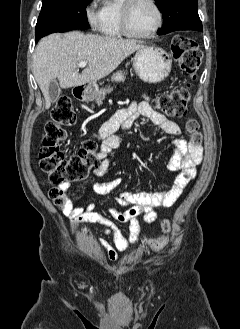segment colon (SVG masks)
<instances>
[{
    "label": "colon",
    "mask_w": 240,
    "mask_h": 329,
    "mask_svg": "<svg viewBox=\"0 0 240 329\" xmlns=\"http://www.w3.org/2000/svg\"><path fill=\"white\" fill-rule=\"evenodd\" d=\"M172 52L180 70L190 79H194L202 61V51L198 43L190 37L176 35L172 40ZM190 98L189 85L182 86L159 95L153 101V106L171 117H183L187 112ZM75 119L76 114L70 98L61 96L52 110L51 121L45 126V135L39 151L41 169L54 184L83 181L98 163V145L93 138L86 139L79 151L70 157L60 150V143L66 137L65 127L72 125ZM186 130L190 135V143L200 146L203 138L198 123L193 119L188 120ZM50 198L59 209H63L70 197L64 190L53 189ZM170 229V221L165 219L162 222L163 234L149 241L152 250H160L168 244Z\"/></svg>",
    "instance_id": "5ec220e1"
}]
</instances>
